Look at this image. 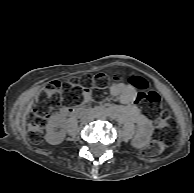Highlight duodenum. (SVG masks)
Listing matches in <instances>:
<instances>
[{"instance_id": "1", "label": "duodenum", "mask_w": 194, "mask_h": 193, "mask_svg": "<svg viewBox=\"0 0 194 193\" xmlns=\"http://www.w3.org/2000/svg\"><path fill=\"white\" fill-rule=\"evenodd\" d=\"M87 112H88L87 109L77 107V106L65 107L62 110V113H64L65 115H68V116H78V115H81V114H85Z\"/></svg>"}]
</instances>
